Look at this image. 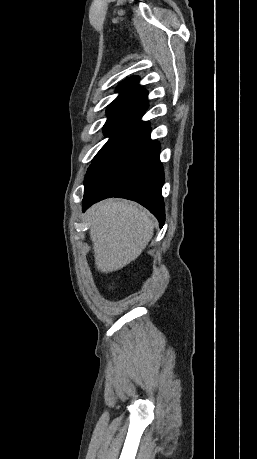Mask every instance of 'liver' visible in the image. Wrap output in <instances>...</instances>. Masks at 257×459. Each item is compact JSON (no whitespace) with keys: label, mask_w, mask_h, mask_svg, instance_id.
Returning <instances> with one entry per match:
<instances>
[{"label":"liver","mask_w":257,"mask_h":459,"mask_svg":"<svg viewBox=\"0 0 257 459\" xmlns=\"http://www.w3.org/2000/svg\"><path fill=\"white\" fill-rule=\"evenodd\" d=\"M89 215L95 265L103 273L137 259L153 236L150 214L127 201H102L89 209Z\"/></svg>","instance_id":"liver-1"}]
</instances>
